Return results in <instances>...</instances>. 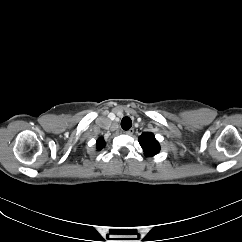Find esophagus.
<instances>
[{
    "instance_id": "esophagus-1",
    "label": "esophagus",
    "mask_w": 242,
    "mask_h": 242,
    "mask_svg": "<svg viewBox=\"0 0 242 242\" xmlns=\"http://www.w3.org/2000/svg\"><path fill=\"white\" fill-rule=\"evenodd\" d=\"M125 133H126L127 135H133V133H134V129L131 128V129L127 130Z\"/></svg>"
}]
</instances>
